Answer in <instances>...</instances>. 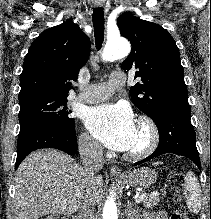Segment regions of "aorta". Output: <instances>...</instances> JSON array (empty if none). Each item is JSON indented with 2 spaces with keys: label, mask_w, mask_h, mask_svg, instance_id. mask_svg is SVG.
I'll return each instance as SVG.
<instances>
[{
  "label": "aorta",
  "mask_w": 211,
  "mask_h": 219,
  "mask_svg": "<svg viewBox=\"0 0 211 219\" xmlns=\"http://www.w3.org/2000/svg\"><path fill=\"white\" fill-rule=\"evenodd\" d=\"M129 53L130 44L128 41L118 38L114 41L107 42L103 52V59L106 61H113L115 59L125 57ZM102 219H118L114 193H111L104 205Z\"/></svg>",
  "instance_id": "aorta-1"
}]
</instances>
